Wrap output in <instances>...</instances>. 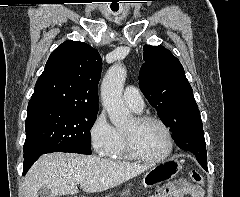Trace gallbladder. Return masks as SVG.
<instances>
[{"mask_svg":"<svg viewBox=\"0 0 240 197\" xmlns=\"http://www.w3.org/2000/svg\"><path fill=\"white\" fill-rule=\"evenodd\" d=\"M38 197H54L48 188H41L38 191Z\"/></svg>","mask_w":240,"mask_h":197,"instance_id":"obj_1","label":"gallbladder"}]
</instances>
